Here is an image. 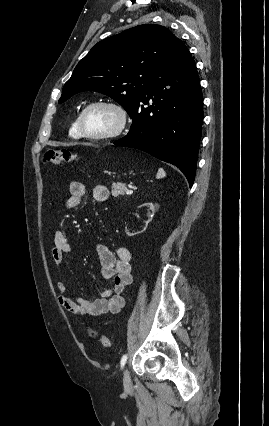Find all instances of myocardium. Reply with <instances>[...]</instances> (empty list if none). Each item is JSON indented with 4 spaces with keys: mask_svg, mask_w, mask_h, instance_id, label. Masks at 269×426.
<instances>
[{
    "mask_svg": "<svg viewBox=\"0 0 269 426\" xmlns=\"http://www.w3.org/2000/svg\"><path fill=\"white\" fill-rule=\"evenodd\" d=\"M94 107H106L113 110L117 115V124L110 131L104 133H91L89 132L84 124V118L86 113ZM128 125V114L123 106L120 104L109 101V100H96L88 103L80 112L78 117V127L83 137L92 140H111L119 137L127 128Z\"/></svg>",
    "mask_w": 269,
    "mask_h": 426,
    "instance_id": "f54148a6",
    "label": "myocardium"
}]
</instances>
